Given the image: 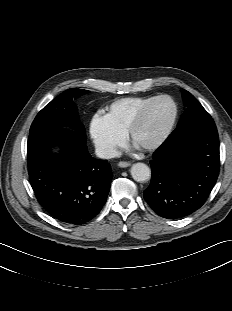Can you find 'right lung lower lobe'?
<instances>
[{
  "mask_svg": "<svg viewBox=\"0 0 232 311\" xmlns=\"http://www.w3.org/2000/svg\"><path fill=\"white\" fill-rule=\"evenodd\" d=\"M56 143L59 156L51 152ZM27 156L36 198L51 216L81 225L101 211L110 191L111 166L91 157L84 135L60 127L31 134Z\"/></svg>",
  "mask_w": 232,
  "mask_h": 311,
  "instance_id": "right-lung-lower-lobe-1",
  "label": "right lung lower lobe"
}]
</instances>
